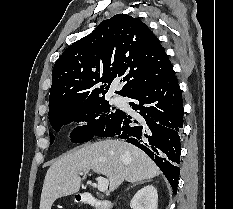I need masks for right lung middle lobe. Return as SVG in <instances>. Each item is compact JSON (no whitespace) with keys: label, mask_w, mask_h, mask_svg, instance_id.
I'll return each mask as SVG.
<instances>
[{"label":"right lung middle lobe","mask_w":233,"mask_h":209,"mask_svg":"<svg viewBox=\"0 0 233 209\" xmlns=\"http://www.w3.org/2000/svg\"><path fill=\"white\" fill-rule=\"evenodd\" d=\"M122 112L115 110L114 107L112 108L105 99H99L83 104L63 106L50 112L48 116L55 131H59L63 125L73 121L88 122L87 125L77 127L71 132V141L82 143L107 130L120 117ZM49 134L52 144L54 136L51 132Z\"/></svg>","instance_id":"obj_1"}]
</instances>
